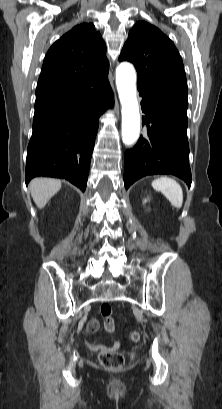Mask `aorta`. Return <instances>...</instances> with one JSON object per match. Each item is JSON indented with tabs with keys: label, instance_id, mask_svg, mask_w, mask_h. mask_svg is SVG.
Segmentation results:
<instances>
[{
	"label": "aorta",
	"instance_id": "obj_1",
	"mask_svg": "<svg viewBox=\"0 0 222 409\" xmlns=\"http://www.w3.org/2000/svg\"><path fill=\"white\" fill-rule=\"evenodd\" d=\"M116 85L122 106V141L135 144L140 135V113L136 96V73L129 63H121L116 69Z\"/></svg>",
	"mask_w": 222,
	"mask_h": 409
}]
</instances>
